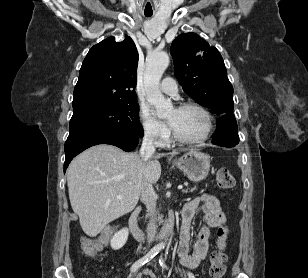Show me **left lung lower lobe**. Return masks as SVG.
Returning <instances> with one entry per match:
<instances>
[{"label": "left lung lower lobe", "mask_w": 308, "mask_h": 278, "mask_svg": "<svg viewBox=\"0 0 308 278\" xmlns=\"http://www.w3.org/2000/svg\"><path fill=\"white\" fill-rule=\"evenodd\" d=\"M217 124L213 144L225 147H233L238 144L237 123L233 114H224L218 119Z\"/></svg>", "instance_id": "obj_1"}]
</instances>
